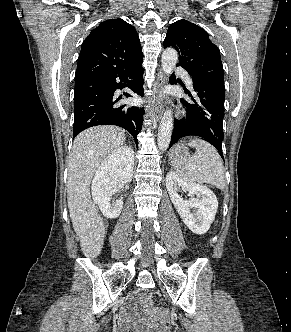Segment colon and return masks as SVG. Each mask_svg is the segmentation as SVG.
Listing matches in <instances>:
<instances>
[{"label":"colon","mask_w":291,"mask_h":332,"mask_svg":"<svg viewBox=\"0 0 291 332\" xmlns=\"http://www.w3.org/2000/svg\"><path fill=\"white\" fill-rule=\"evenodd\" d=\"M143 304H144V306L146 307V309H149V310L154 309L151 300L148 299V298H144V299H143ZM162 312L165 313V310H162Z\"/></svg>","instance_id":"colon-1"}]
</instances>
